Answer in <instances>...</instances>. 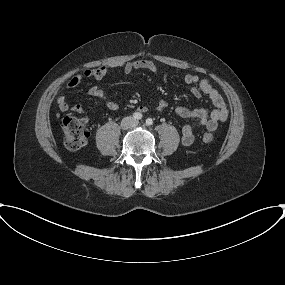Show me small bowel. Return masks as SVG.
I'll use <instances>...</instances> for the list:
<instances>
[{"label":"small bowel","mask_w":285,"mask_h":285,"mask_svg":"<svg viewBox=\"0 0 285 285\" xmlns=\"http://www.w3.org/2000/svg\"><path fill=\"white\" fill-rule=\"evenodd\" d=\"M108 68L99 67L85 70L82 74L76 75L72 77L67 85V89H73L77 87L81 80L86 78H93L96 80H102L106 74L108 73ZM120 70L124 74H131L136 70H146L151 73H157L158 68L156 64L147 59H139L136 61L125 63L120 66ZM164 80H167V75H164ZM184 81L187 84H191V94L195 97H199L202 94L207 95L214 105V109L208 112L205 108H188L185 106H178L175 110L176 114L183 118L192 119L191 123L185 124L181 130V143L184 146H190L194 142V131L198 126L206 127L210 131H214L217 129L220 122L226 121L228 117V107L227 104L222 97V95L211 85V83L205 79L200 78L197 75L187 74L184 77ZM89 95L99 100L103 106L108 108L109 110L116 111L118 109V104L108 99L102 89L97 86H91L88 90ZM57 105L58 108L65 112L68 110H72L75 113L84 112V107L81 103H77L70 107L69 103L64 94H60L57 97ZM167 106V102L162 100L156 106L158 111H163ZM140 112H146L147 107L140 106L138 108Z\"/></svg>","instance_id":"c3829d8e"}]
</instances>
